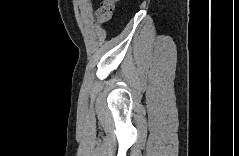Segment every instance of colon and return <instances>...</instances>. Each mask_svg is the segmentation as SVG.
I'll use <instances>...</instances> for the list:
<instances>
[{
    "instance_id": "5ec220e1",
    "label": "colon",
    "mask_w": 239,
    "mask_h": 156,
    "mask_svg": "<svg viewBox=\"0 0 239 156\" xmlns=\"http://www.w3.org/2000/svg\"><path fill=\"white\" fill-rule=\"evenodd\" d=\"M115 8L114 0H104L100 3L98 14L101 21H107L111 18Z\"/></svg>"
}]
</instances>
